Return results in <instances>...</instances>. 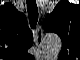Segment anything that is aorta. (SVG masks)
I'll return each mask as SVG.
<instances>
[{"instance_id": "1", "label": "aorta", "mask_w": 80, "mask_h": 60, "mask_svg": "<svg viewBox=\"0 0 80 60\" xmlns=\"http://www.w3.org/2000/svg\"><path fill=\"white\" fill-rule=\"evenodd\" d=\"M44 43L46 45L47 52L52 54H58L62 47L61 39L56 34L45 36Z\"/></svg>"}]
</instances>
